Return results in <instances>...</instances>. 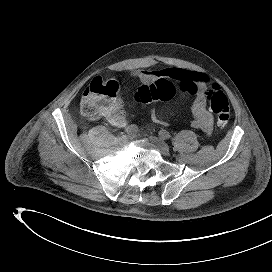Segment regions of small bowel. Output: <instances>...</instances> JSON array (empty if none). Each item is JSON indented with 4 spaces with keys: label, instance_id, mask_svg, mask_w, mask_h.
<instances>
[{
    "label": "small bowel",
    "instance_id": "obj_1",
    "mask_svg": "<svg viewBox=\"0 0 272 272\" xmlns=\"http://www.w3.org/2000/svg\"><path fill=\"white\" fill-rule=\"evenodd\" d=\"M133 76L143 84H149L158 79H165L173 82L180 90L191 93L193 95L190 107L192 115L191 126L201 130L207 136L212 134L213 117L206 109V98L204 95L209 82L206 76L180 68L153 71L137 70L133 72ZM107 118L115 126L124 124L125 118L121 99L117 101L114 113ZM151 118L156 123L167 124V121L162 120L154 109L151 111Z\"/></svg>",
    "mask_w": 272,
    "mask_h": 272
}]
</instances>
